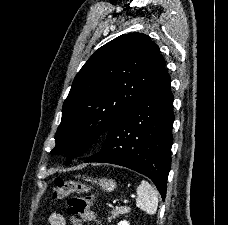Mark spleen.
<instances>
[{
	"instance_id": "3e777b00",
	"label": "spleen",
	"mask_w": 228,
	"mask_h": 225,
	"mask_svg": "<svg viewBox=\"0 0 228 225\" xmlns=\"http://www.w3.org/2000/svg\"><path fill=\"white\" fill-rule=\"evenodd\" d=\"M136 205L145 211L146 215H155L158 209V191L149 185L147 181H141V185L136 189Z\"/></svg>"
}]
</instances>
